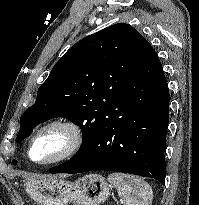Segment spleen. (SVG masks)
Listing matches in <instances>:
<instances>
[{
	"instance_id": "obj_1",
	"label": "spleen",
	"mask_w": 199,
	"mask_h": 205,
	"mask_svg": "<svg viewBox=\"0 0 199 205\" xmlns=\"http://www.w3.org/2000/svg\"><path fill=\"white\" fill-rule=\"evenodd\" d=\"M108 181L118 191L124 205H150L153 198L151 186L142 178L123 173H111Z\"/></svg>"
}]
</instances>
